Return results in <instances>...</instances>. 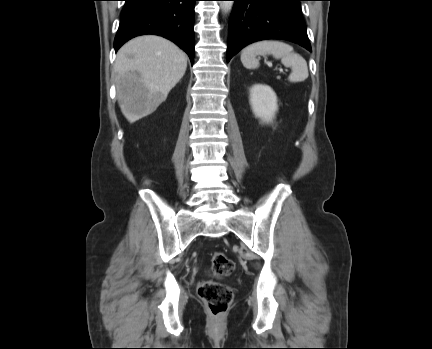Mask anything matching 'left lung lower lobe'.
Here are the masks:
<instances>
[{
	"label": "left lung lower lobe",
	"instance_id": "1",
	"mask_svg": "<svg viewBox=\"0 0 432 349\" xmlns=\"http://www.w3.org/2000/svg\"><path fill=\"white\" fill-rule=\"evenodd\" d=\"M235 1L229 23L227 62L246 45L265 39H284L311 51L301 14L303 0Z\"/></svg>",
	"mask_w": 432,
	"mask_h": 349
}]
</instances>
